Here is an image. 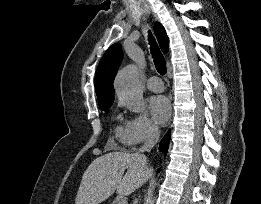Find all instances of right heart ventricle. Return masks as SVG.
<instances>
[{"label":"right heart ventricle","mask_w":261,"mask_h":204,"mask_svg":"<svg viewBox=\"0 0 261 204\" xmlns=\"http://www.w3.org/2000/svg\"><path fill=\"white\" fill-rule=\"evenodd\" d=\"M115 134L116 137L119 138L121 141L126 142V128L124 126L118 124L115 128Z\"/></svg>","instance_id":"obj_1"}]
</instances>
